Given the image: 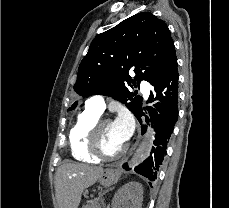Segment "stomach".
I'll return each instance as SVG.
<instances>
[{
  "instance_id": "0dacf381",
  "label": "stomach",
  "mask_w": 229,
  "mask_h": 208,
  "mask_svg": "<svg viewBox=\"0 0 229 208\" xmlns=\"http://www.w3.org/2000/svg\"><path fill=\"white\" fill-rule=\"evenodd\" d=\"M120 174L118 170H112V168H106V170H103L101 172L98 182L100 186H104V188H109V186H113V184H116Z\"/></svg>"
}]
</instances>
